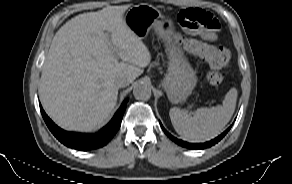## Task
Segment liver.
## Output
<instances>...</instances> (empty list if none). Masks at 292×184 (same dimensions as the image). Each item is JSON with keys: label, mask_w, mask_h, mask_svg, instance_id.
<instances>
[{"label": "liver", "mask_w": 292, "mask_h": 184, "mask_svg": "<svg viewBox=\"0 0 292 184\" xmlns=\"http://www.w3.org/2000/svg\"><path fill=\"white\" fill-rule=\"evenodd\" d=\"M128 7L80 14L55 34L42 68L39 94L58 126L83 132L104 123L116 105L117 79L133 82L150 63L147 46L124 21Z\"/></svg>", "instance_id": "1"}]
</instances>
